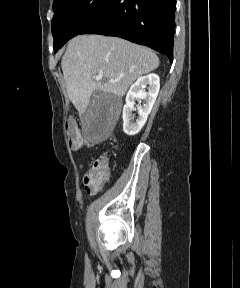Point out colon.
Returning <instances> with one entry per match:
<instances>
[{
	"instance_id": "5ec220e1",
	"label": "colon",
	"mask_w": 240,
	"mask_h": 288,
	"mask_svg": "<svg viewBox=\"0 0 240 288\" xmlns=\"http://www.w3.org/2000/svg\"><path fill=\"white\" fill-rule=\"evenodd\" d=\"M72 149H79L83 145V138L74 120H68L65 125ZM110 170L105 158L97 159L92 168L84 176V187L88 193L97 192L109 179Z\"/></svg>"
}]
</instances>
